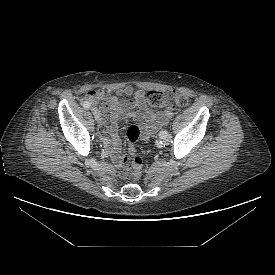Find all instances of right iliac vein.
Here are the masks:
<instances>
[{
  "label": "right iliac vein",
  "instance_id": "63e3f726",
  "mask_svg": "<svg viewBox=\"0 0 275 275\" xmlns=\"http://www.w3.org/2000/svg\"><path fill=\"white\" fill-rule=\"evenodd\" d=\"M91 110H92L95 120L98 121L100 119V111L96 107H93Z\"/></svg>",
  "mask_w": 275,
  "mask_h": 275
}]
</instances>
